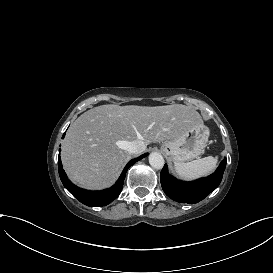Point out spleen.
I'll return each instance as SVG.
<instances>
[{
	"label": "spleen",
	"mask_w": 273,
	"mask_h": 273,
	"mask_svg": "<svg viewBox=\"0 0 273 273\" xmlns=\"http://www.w3.org/2000/svg\"><path fill=\"white\" fill-rule=\"evenodd\" d=\"M217 164V157L208 156L191 162H174L176 173L186 179L191 180L211 173Z\"/></svg>",
	"instance_id": "spleen-1"
}]
</instances>
